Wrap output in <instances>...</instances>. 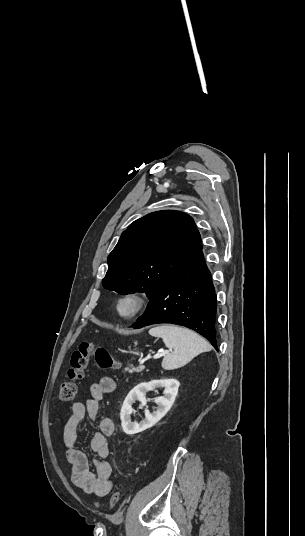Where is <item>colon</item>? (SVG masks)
Segmentation results:
<instances>
[{"mask_svg":"<svg viewBox=\"0 0 305 536\" xmlns=\"http://www.w3.org/2000/svg\"><path fill=\"white\" fill-rule=\"evenodd\" d=\"M91 358H94L103 369L119 370L122 367V362L115 360L106 347L90 341H81L71 355L69 379L60 386L59 399L61 402L70 403L74 399L77 387L84 379ZM118 502L119 492L115 490L110 497L109 509L115 507Z\"/></svg>","mask_w":305,"mask_h":536,"instance_id":"1","label":"colon"}]
</instances>
